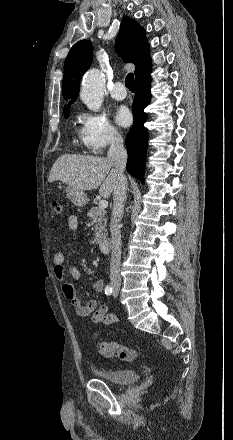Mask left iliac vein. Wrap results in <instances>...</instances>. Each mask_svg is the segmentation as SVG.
I'll list each match as a JSON object with an SVG mask.
<instances>
[{
	"mask_svg": "<svg viewBox=\"0 0 233 440\" xmlns=\"http://www.w3.org/2000/svg\"><path fill=\"white\" fill-rule=\"evenodd\" d=\"M117 295H118V292L115 290L114 293H113V296L117 297Z\"/></svg>",
	"mask_w": 233,
	"mask_h": 440,
	"instance_id": "4c4485c4",
	"label": "left iliac vein"
}]
</instances>
